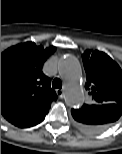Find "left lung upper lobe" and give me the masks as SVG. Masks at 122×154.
Returning <instances> with one entry per match:
<instances>
[{
    "instance_id": "5c2ea615",
    "label": "left lung upper lobe",
    "mask_w": 122,
    "mask_h": 154,
    "mask_svg": "<svg viewBox=\"0 0 122 154\" xmlns=\"http://www.w3.org/2000/svg\"><path fill=\"white\" fill-rule=\"evenodd\" d=\"M82 58L87 80L85 88L91 97L90 104H122V70L119 65L107 54L97 50H86ZM78 110L71 111L75 121H78Z\"/></svg>"
}]
</instances>
